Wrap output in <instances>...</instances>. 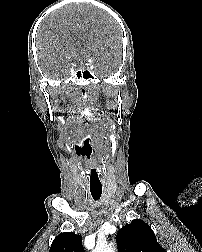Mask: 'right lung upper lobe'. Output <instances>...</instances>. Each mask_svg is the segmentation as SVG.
I'll use <instances>...</instances> for the list:
<instances>
[{
	"label": "right lung upper lobe",
	"instance_id": "right-lung-upper-lobe-1",
	"mask_svg": "<svg viewBox=\"0 0 202 252\" xmlns=\"http://www.w3.org/2000/svg\"><path fill=\"white\" fill-rule=\"evenodd\" d=\"M82 236L72 232L59 234L52 242L49 252H84Z\"/></svg>",
	"mask_w": 202,
	"mask_h": 252
}]
</instances>
